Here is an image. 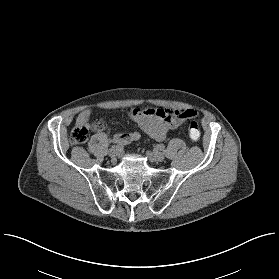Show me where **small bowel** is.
Listing matches in <instances>:
<instances>
[{
    "mask_svg": "<svg viewBox=\"0 0 279 279\" xmlns=\"http://www.w3.org/2000/svg\"><path fill=\"white\" fill-rule=\"evenodd\" d=\"M128 113L138 123L140 128L150 137L161 141L167 133L180 127L185 121L195 118L197 113L189 109L157 108L151 110L129 109ZM91 111L84 109L76 119V125L90 126L96 131H102L105 124L97 120L89 124ZM141 137L138 131L117 133L112 136L116 144L127 145L139 140Z\"/></svg>",
    "mask_w": 279,
    "mask_h": 279,
    "instance_id": "c3829d8e",
    "label": "small bowel"
}]
</instances>
